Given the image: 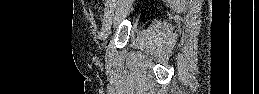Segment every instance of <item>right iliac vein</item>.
I'll use <instances>...</instances> for the list:
<instances>
[{"mask_svg": "<svg viewBox=\"0 0 259 94\" xmlns=\"http://www.w3.org/2000/svg\"><path fill=\"white\" fill-rule=\"evenodd\" d=\"M114 4H110L109 6H107L106 8V12H105V18L103 21V26H102V31H101V38L103 41H105L110 33L111 30V25H112V21H113V16H114ZM128 9H126V11H128Z\"/></svg>", "mask_w": 259, "mask_h": 94, "instance_id": "1", "label": "right iliac vein"}]
</instances>
